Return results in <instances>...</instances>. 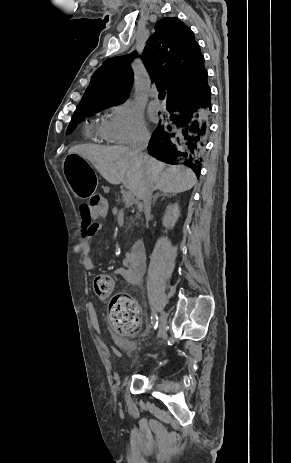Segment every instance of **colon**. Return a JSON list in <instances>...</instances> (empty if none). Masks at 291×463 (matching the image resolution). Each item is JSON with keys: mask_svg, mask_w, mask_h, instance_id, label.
Masks as SVG:
<instances>
[{"mask_svg": "<svg viewBox=\"0 0 291 463\" xmlns=\"http://www.w3.org/2000/svg\"><path fill=\"white\" fill-rule=\"evenodd\" d=\"M83 212L95 217H106L108 211L106 202L101 196H93L89 204L81 206ZM115 283L110 275H98L93 282L94 292L97 297L107 299L112 296ZM109 319L115 331L122 335H129L136 331L139 324V310L136 303L126 296H113L108 308Z\"/></svg>", "mask_w": 291, "mask_h": 463, "instance_id": "obj_1", "label": "colon"}]
</instances>
